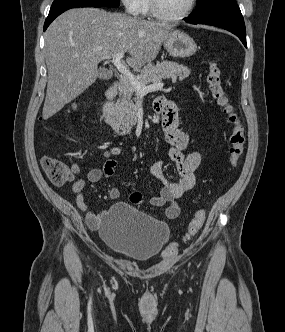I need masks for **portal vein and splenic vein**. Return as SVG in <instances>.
<instances>
[{"label": "portal vein and splenic vein", "instance_id": "1", "mask_svg": "<svg viewBox=\"0 0 285 332\" xmlns=\"http://www.w3.org/2000/svg\"><path fill=\"white\" fill-rule=\"evenodd\" d=\"M124 57L123 52H119L114 55L112 59L113 65L117 70L130 82L138 94L145 95L150 91L162 90L164 84L162 82H155L152 85H145L138 81L135 76L129 71V69L121 62V59Z\"/></svg>", "mask_w": 285, "mask_h": 332}]
</instances>
